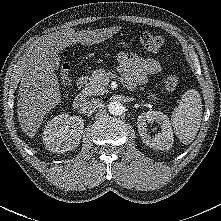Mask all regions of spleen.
<instances>
[{
	"mask_svg": "<svg viewBox=\"0 0 221 221\" xmlns=\"http://www.w3.org/2000/svg\"><path fill=\"white\" fill-rule=\"evenodd\" d=\"M202 102L198 91L187 90L174 109L171 122L176 136L188 145L193 142L202 120Z\"/></svg>",
	"mask_w": 221,
	"mask_h": 221,
	"instance_id": "spleen-1",
	"label": "spleen"
}]
</instances>
